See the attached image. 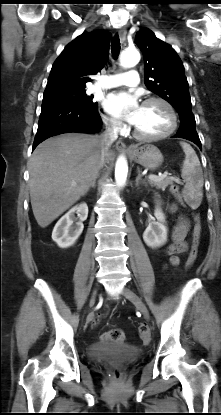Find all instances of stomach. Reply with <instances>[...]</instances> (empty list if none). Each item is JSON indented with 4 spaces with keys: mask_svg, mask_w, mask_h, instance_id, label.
Masks as SVG:
<instances>
[{
    "mask_svg": "<svg viewBox=\"0 0 221 415\" xmlns=\"http://www.w3.org/2000/svg\"><path fill=\"white\" fill-rule=\"evenodd\" d=\"M129 156L133 161L150 170L157 169L163 163L162 153L152 144L135 146Z\"/></svg>",
    "mask_w": 221,
    "mask_h": 415,
    "instance_id": "obj_1",
    "label": "stomach"
}]
</instances>
